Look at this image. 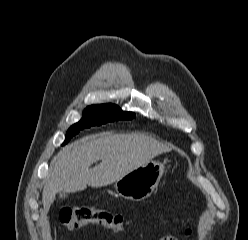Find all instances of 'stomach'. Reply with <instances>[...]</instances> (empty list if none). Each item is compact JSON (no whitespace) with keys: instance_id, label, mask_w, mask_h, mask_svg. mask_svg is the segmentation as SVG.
<instances>
[{"instance_id":"1","label":"stomach","mask_w":248,"mask_h":240,"mask_svg":"<svg viewBox=\"0 0 248 240\" xmlns=\"http://www.w3.org/2000/svg\"><path fill=\"white\" fill-rule=\"evenodd\" d=\"M165 172L164 163L150 161L124 175L115 182L117 195L132 201L148 198Z\"/></svg>"}]
</instances>
